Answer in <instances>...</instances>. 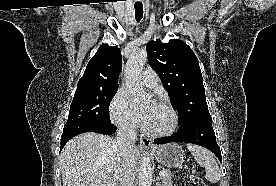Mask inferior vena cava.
<instances>
[{
    "label": "inferior vena cava",
    "mask_w": 276,
    "mask_h": 186,
    "mask_svg": "<svg viewBox=\"0 0 276 186\" xmlns=\"http://www.w3.org/2000/svg\"><path fill=\"white\" fill-rule=\"evenodd\" d=\"M136 126L134 124H124L117 131L115 144L122 157L121 167L118 172V179L121 186H134L136 175V162L132 159L130 153L135 147Z\"/></svg>",
    "instance_id": "1"
}]
</instances>
